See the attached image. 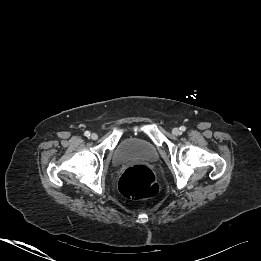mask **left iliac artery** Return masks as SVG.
I'll return each mask as SVG.
<instances>
[{"label": "left iliac artery", "instance_id": "obj_1", "mask_svg": "<svg viewBox=\"0 0 261 261\" xmlns=\"http://www.w3.org/2000/svg\"><path fill=\"white\" fill-rule=\"evenodd\" d=\"M180 130H181L182 132H184V131L186 130V127H185V126H181V127H180Z\"/></svg>", "mask_w": 261, "mask_h": 261}]
</instances>
